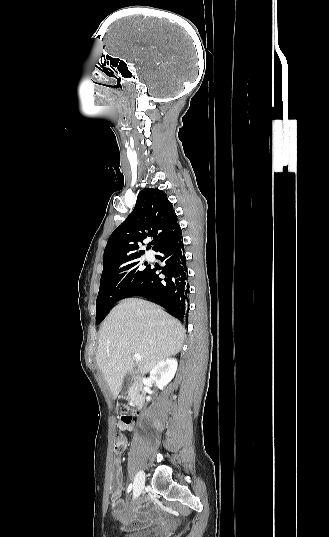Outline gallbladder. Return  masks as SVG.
<instances>
[{
    "label": "gallbladder",
    "instance_id": "bac80fb5",
    "mask_svg": "<svg viewBox=\"0 0 329 537\" xmlns=\"http://www.w3.org/2000/svg\"><path fill=\"white\" fill-rule=\"evenodd\" d=\"M133 375H134V373L130 372L124 377L123 384H122V391L124 393H127L128 389L132 385V383H133Z\"/></svg>",
    "mask_w": 329,
    "mask_h": 537
}]
</instances>
